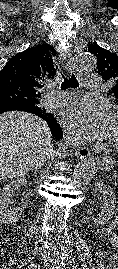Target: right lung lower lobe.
I'll return each instance as SVG.
<instances>
[{
	"instance_id": "obj_1",
	"label": "right lung lower lobe",
	"mask_w": 118,
	"mask_h": 269,
	"mask_svg": "<svg viewBox=\"0 0 118 269\" xmlns=\"http://www.w3.org/2000/svg\"><path fill=\"white\" fill-rule=\"evenodd\" d=\"M11 110H20L25 111L29 113H34L33 109L26 104L19 103V102H8V103H1L0 104V114L11 111ZM57 140L62 138V131L60 127L58 126L55 135H53Z\"/></svg>"
}]
</instances>
